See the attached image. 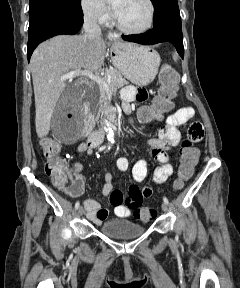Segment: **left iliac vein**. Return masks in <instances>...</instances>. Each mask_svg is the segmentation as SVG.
<instances>
[{
	"instance_id": "1",
	"label": "left iliac vein",
	"mask_w": 240,
	"mask_h": 288,
	"mask_svg": "<svg viewBox=\"0 0 240 288\" xmlns=\"http://www.w3.org/2000/svg\"><path fill=\"white\" fill-rule=\"evenodd\" d=\"M161 208H162L163 212H165V213L168 212V206L165 202L162 203Z\"/></svg>"
}]
</instances>
